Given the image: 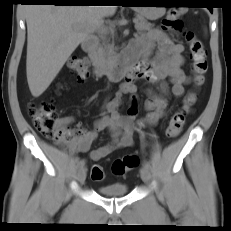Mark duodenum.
<instances>
[{
    "instance_id": "obj_1",
    "label": "duodenum",
    "mask_w": 231,
    "mask_h": 231,
    "mask_svg": "<svg viewBox=\"0 0 231 231\" xmlns=\"http://www.w3.org/2000/svg\"><path fill=\"white\" fill-rule=\"evenodd\" d=\"M82 48L91 54L93 72L96 75L108 74L116 81L133 73V69L139 61V51L136 49L125 52L119 61L111 65H105L100 55L96 52L97 40L94 37L87 38L83 42Z\"/></svg>"
}]
</instances>
